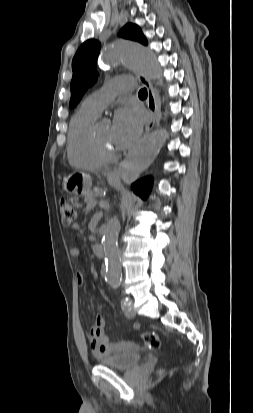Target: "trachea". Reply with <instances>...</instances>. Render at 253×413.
I'll return each instance as SVG.
<instances>
[{"mask_svg":"<svg viewBox=\"0 0 253 413\" xmlns=\"http://www.w3.org/2000/svg\"><path fill=\"white\" fill-rule=\"evenodd\" d=\"M139 96H147V90L146 88H143L139 91L138 93Z\"/></svg>","mask_w":253,"mask_h":413,"instance_id":"1","label":"trachea"}]
</instances>
